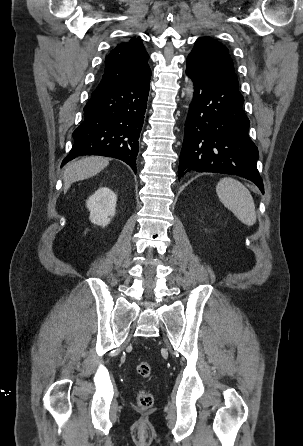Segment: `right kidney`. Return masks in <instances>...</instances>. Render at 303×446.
<instances>
[{"label": "right kidney", "instance_id": "right-kidney-1", "mask_svg": "<svg viewBox=\"0 0 303 446\" xmlns=\"http://www.w3.org/2000/svg\"><path fill=\"white\" fill-rule=\"evenodd\" d=\"M116 202L117 196L111 189L99 188L86 201V206L90 211V221L98 226H107L115 215Z\"/></svg>", "mask_w": 303, "mask_h": 446}]
</instances>
